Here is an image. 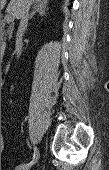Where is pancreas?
I'll use <instances>...</instances> for the list:
<instances>
[{
  "label": "pancreas",
  "mask_w": 109,
  "mask_h": 170,
  "mask_svg": "<svg viewBox=\"0 0 109 170\" xmlns=\"http://www.w3.org/2000/svg\"><path fill=\"white\" fill-rule=\"evenodd\" d=\"M1 40H2V46H5V41H4V22H2V29H1Z\"/></svg>",
  "instance_id": "obj_1"
}]
</instances>
